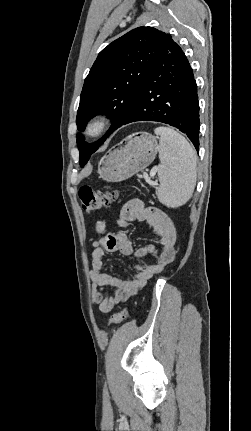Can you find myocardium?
<instances>
[{
  "label": "myocardium",
  "instance_id": "f54148a6",
  "mask_svg": "<svg viewBox=\"0 0 251 431\" xmlns=\"http://www.w3.org/2000/svg\"><path fill=\"white\" fill-rule=\"evenodd\" d=\"M109 123L110 117L107 114L95 115L86 123L84 135L90 139L98 138L107 130Z\"/></svg>",
  "mask_w": 251,
  "mask_h": 431
}]
</instances>
